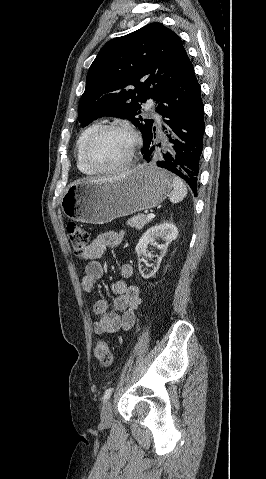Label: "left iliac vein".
<instances>
[{
	"mask_svg": "<svg viewBox=\"0 0 266 479\" xmlns=\"http://www.w3.org/2000/svg\"><path fill=\"white\" fill-rule=\"evenodd\" d=\"M112 404L111 401L104 403L101 410V423L104 426H110L112 424Z\"/></svg>",
	"mask_w": 266,
	"mask_h": 479,
	"instance_id": "1",
	"label": "left iliac vein"
}]
</instances>
